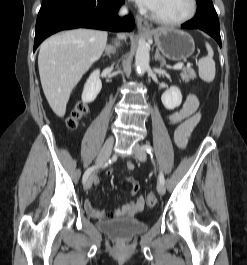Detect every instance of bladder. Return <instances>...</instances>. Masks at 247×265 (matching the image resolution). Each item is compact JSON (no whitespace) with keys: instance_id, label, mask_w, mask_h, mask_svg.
I'll list each match as a JSON object with an SVG mask.
<instances>
[{"instance_id":"31cf9c89","label":"bladder","mask_w":247,"mask_h":265,"mask_svg":"<svg viewBox=\"0 0 247 265\" xmlns=\"http://www.w3.org/2000/svg\"><path fill=\"white\" fill-rule=\"evenodd\" d=\"M99 229L115 240L125 241L147 230V224L131 218L106 219L99 222Z\"/></svg>"}]
</instances>
